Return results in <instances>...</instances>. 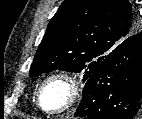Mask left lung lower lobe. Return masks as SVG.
I'll return each mask as SVG.
<instances>
[{
    "instance_id": "1",
    "label": "left lung lower lobe",
    "mask_w": 142,
    "mask_h": 119,
    "mask_svg": "<svg viewBox=\"0 0 142 119\" xmlns=\"http://www.w3.org/2000/svg\"><path fill=\"white\" fill-rule=\"evenodd\" d=\"M74 115L84 119H141L142 31L117 45L85 83Z\"/></svg>"
}]
</instances>
